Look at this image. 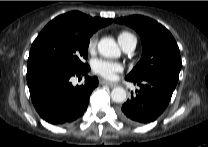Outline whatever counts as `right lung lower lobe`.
<instances>
[{
    "label": "right lung lower lobe",
    "mask_w": 208,
    "mask_h": 147,
    "mask_svg": "<svg viewBox=\"0 0 208 147\" xmlns=\"http://www.w3.org/2000/svg\"><path fill=\"white\" fill-rule=\"evenodd\" d=\"M90 67L70 70L63 67H44L27 71V83L33 105L49 123H70L83 115L91 92L98 86L97 77L87 76ZM86 75L81 86H73L72 76Z\"/></svg>",
    "instance_id": "obj_1"
}]
</instances>
